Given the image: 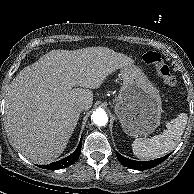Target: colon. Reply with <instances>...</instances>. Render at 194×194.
Instances as JSON below:
<instances>
[{
    "label": "colon",
    "instance_id": "obj_1",
    "mask_svg": "<svg viewBox=\"0 0 194 194\" xmlns=\"http://www.w3.org/2000/svg\"><path fill=\"white\" fill-rule=\"evenodd\" d=\"M143 61L155 67L157 74L167 86L171 88L176 86V78L163 61L160 53L156 51H148L143 55Z\"/></svg>",
    "mask_w": 194,
    "mask_h": 194
}]
</instances>
